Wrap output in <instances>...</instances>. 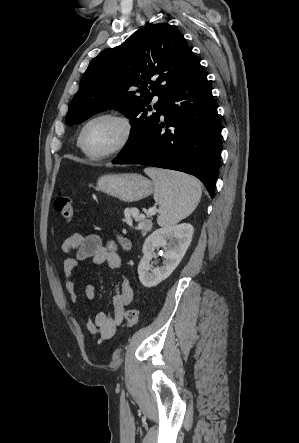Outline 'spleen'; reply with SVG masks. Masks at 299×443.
<instances>
[{"label": "spleen", "mask_w": 299, "mask_h": 443, "mask_svg": "<svg viewBox=\"0 0 299 443\" xmlns=\"http://www.w3.org/2000/svg\"><path fill=\"white\" fill-rule=\"evenodd\" d=\"M144 172L155 184L154 199L159 204V226H173L195 210L202 194L197 179L187 174L151 167Z\"/></svg>", "instance_id": "spleen-1"}]
</instances>
